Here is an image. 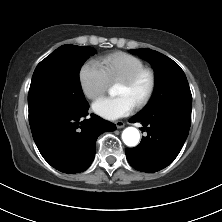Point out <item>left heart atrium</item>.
Returning a JSON list of instances; mask_svg holds the SVG:
<instances>
[{
  "label": "left heart atrium",
  "instance_id": "obj_1",
  "mask_svg": "<svg viewBox=\"0 0 222 222\" xmlns=\"http://www.w3.org/2000/svg\"><path fill=\"white\" fill-rule=\"evenodd\" d=\"M136 104L126 95L102 97L92 105L93 111L108 120H115L132 113Z\"/></svg>",
  "mask_w": 222,
  "mask_h": 222
}]
</instances>
